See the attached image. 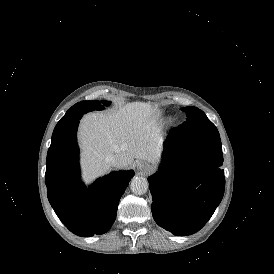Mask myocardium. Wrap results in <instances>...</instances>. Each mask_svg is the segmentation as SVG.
I'll return each mask as SVG.
<instances>
[{
	"label": "myocardium",
	"mask_w": 274,
	"mask_h": 274,
	"mask_svg": "<svg viewBox=\"0 0 274 274\" xmlns=\"http://www.w3.org/2000/svg\"><path fill=\"white\" fill-rule=\"evenodd\" d=\"M176 123V119H172L171 120V124L173 125V124H175Z\"/></svg>",
	"instance_id": "f54148a6"
}]
</instances>
